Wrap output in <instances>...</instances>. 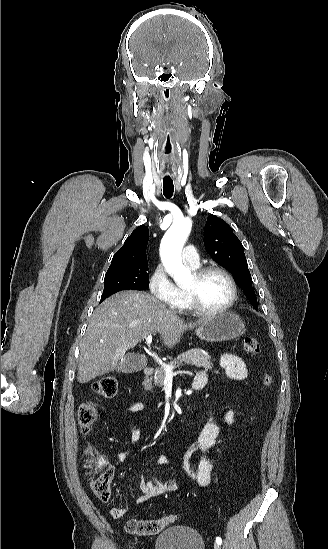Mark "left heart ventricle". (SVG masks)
Wrapping results in <instances>:
<instances>
[{
    "label": "left heart ventricle",
    "instance_id": "b2bd125f",
    "mask_svg": "<svg viewBox=\"0 0 328 549\" xmlns=\"http://www.w3.org/2000/svg\"><path fill=\"white\" fill-rule=\"evenodd\" d=\"M185 287L194 291L202 303L200 306L206 309L223 306L231 295V286L227 278L217 270L208 272L200 279H195L191 275Z\"/></svg>",
    "mask_w": 328,
    "mask_h": 549
}]
</instances>
